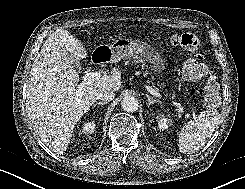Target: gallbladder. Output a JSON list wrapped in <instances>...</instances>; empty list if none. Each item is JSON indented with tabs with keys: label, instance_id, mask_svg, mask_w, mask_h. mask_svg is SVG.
Segmentation results:
<instances>
[{
	"label": "gallbladder",
	"instance_id": "1",
	"mask_svg": "<svg viewBox=\"0 0 245 189\" xmlns=\"http://www.w3.org/2000/svg\"><path fill=\"white\" fill-rule=\"evenodd\" d=\"M67 58L74 64V66H75L76 68H79V69L81 68L80 63L77 62L74 58H72L69 54H68Z\"/></svg>",
	"mask_w": 245,
	"mask_h": 189
}]
</instances>
